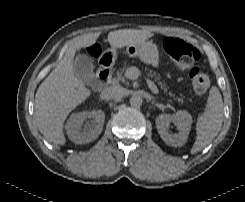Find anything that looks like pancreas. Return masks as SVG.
Returning <instances> with one entry per match:
<instances>
[{
  "label": "pancreas",
  "mask_w": 245,
  "mask_h": 202,
  "mask_svg": "<svg viewBox=\"0 0 245 202\" xmlns=\"http://www.w3.org/2000/svg\"><path fill=\"white\" fill-rule=\"evenodd\" d=\"M126 67H124L121 71H117V80L121 81V82H125V77H124V71H125ZM150 76H152V73H149ZM169 95L174 97V94L169 92Z\"/></svg>",
  "instance_id": "obj_1"
}]
</instances>
